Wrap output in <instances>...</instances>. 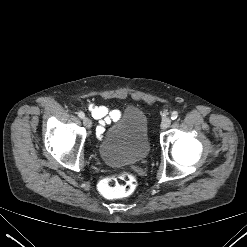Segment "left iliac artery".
<instances>
[{"label":"left iliac artery","mask_w":247,"mask_h":247,"mask_svg":"<svg viewBox=\"0 0 247 247\" xmlns=\"http://www.w3.org/2000/svg\"><path fill=\"white\" fill-rule=\"evenodd\" d=\"M178 117V112L177 111H173L171 114V119L175 120Z\"/></svg>","instance_id":"left-iliac-artery-1"}]
</instances>
